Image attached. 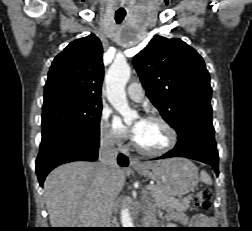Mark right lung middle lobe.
Segmentation results:
<instances>
[{"label":"right lung middle lobe","mask_w":252,"mask_h":231,"mask_svg":"<svg viewBox=\"0 0 252 231\" xmlns=\"http://www.w3.org/2000/svg\"><path fill=\"white\" fill-rule=\"evenodd\" d=\"M101 101L73 95H56L44 99L42 139L59 132L99 136Z\"/></svg>","instance_id":"right-lung-middle-lobe-1"}]
</instances>
